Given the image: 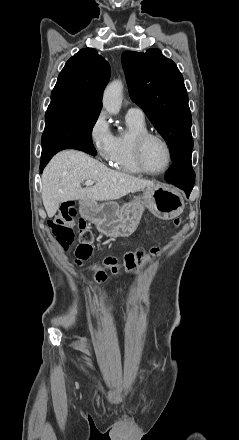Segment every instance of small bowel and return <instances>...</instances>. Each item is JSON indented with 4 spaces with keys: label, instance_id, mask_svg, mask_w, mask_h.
I'll list each match as a JSON object with an SVG mask.
<instances>
[{
    "label": "small bowel",
    "instance_id": "small-bowel-1",
    "mask_svg": "<svg viewBox=\"0 0 239 440\" xmlns=\"http://www.w3.org/2000/svg\"><path fill=\"white\" fill-rule=\"evenodd\" d=\"M104 297H105V298H108V299H110V298H111V297L109 296V294H108V293H105V294H104Z\"/></svg>",
    "mask_w": 239,
    "mask_h": 440
}]
</instances>
